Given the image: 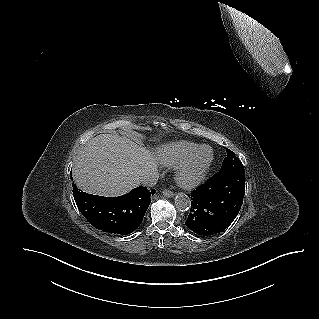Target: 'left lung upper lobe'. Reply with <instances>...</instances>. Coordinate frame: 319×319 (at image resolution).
<instances>
[{"mask_svg":"<svg viewBox=\"0 0 319 319\" xmlns=\"http://www.w3.org/2000/svg\"><path fill=\"white\" fill-rule=\"evenodd\" d=\"M226 152H227V157L223 160L220 171H225V170L244 171L243 164L238 159V157L235 156V153L229 149H227Z\"/></svg>","mask_w":319,"mask_h":319,"instance_id":"left-lung-upper-lobe-1","label":"left lung upper lobe"}]
</instances>
